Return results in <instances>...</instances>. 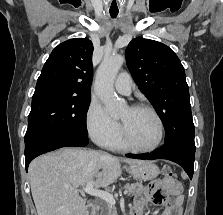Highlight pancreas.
<instances>
[{
  "instance_id": "pancreas-1",
  "label": "pancreas",
  "mask_w": 223,
  "mask_h": 215,
  "mask_svg": "<svg viewBox=\"0 0 223 215\" xmlns=\"http://www.w3.org/2000/svg\"><path fill=\"white\" fill-rule=\"evenodd\" d=\"M125 188H128V195H136V193H139V191L143 189V184L126 183V185H124V189ZM107 211L108 215H117V211L112 205H107Z\"/></svg>"
}]
</instances>
